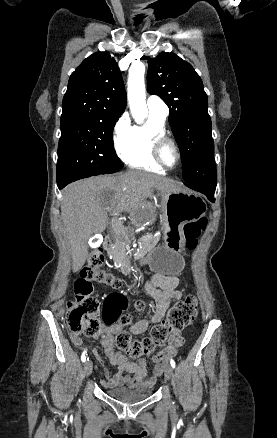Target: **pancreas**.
<instances>
[{
    "label": "pancreas",
    "mask_w": 277,
    "mask_h": 438,
    "mask_svg": "<svg viewBox=\"0 0 277 438\" xmlns=\"http://www.w3.org/2000/svg\"><path fill=\"white\" fill-rule=\"evenodd\" d=\"M160 234L157 231H108L105 245L109 256V267L115 270L117 267H130L131 253H150L153 244H159ZM138 239L139 244L129 241V250L125 244L127 240ZM113 253V254H112Z\"/></svg>",
    "instance_id": "pancreas-1"
}]
</instances>
